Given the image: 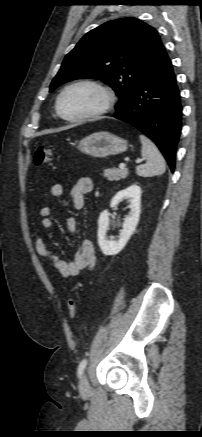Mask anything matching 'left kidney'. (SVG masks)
<instances>
[{"label":"left kidney","instance_id":"5707ae66","mask_svg":"<svg viewBox=\"0 0 202 437\" xmlns=\"http://www.w3.org/2000/svg\"><path fill=\"white\" fill-rule=\"evenodd\" d=\"M124 199H128L130 203V213L125 217L123 229L120 231L117 238L107 237L110 223L109 212L105 210L100 214L98 220V244L101 251L105 255L118 254L126 246L128 240L136 230L141 212L140 186L133 184L128 188L117 192V194L111 200L110 206L115 207Z\"/></svg>","mask_w":202,"mask_h":437}]
</instances>
